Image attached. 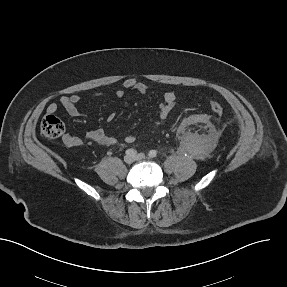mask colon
<instances>
[{
  "mask_svg": "<svg viewBox=\"0 0 287 287\" xmlns=\"http://www.w3.org/2000/svg\"><path fill=\"white\" fill-rule=\"evenodd\" d=\"M210 109L214 115H221L224 112L223 106L219 102H211ZM41 133L49 139L59 138L64 134L63 122L54 114L46 115L40 125Z\"/></svg>",
  "mask_w": 287,
  "mask_h": 287,
  "instance_id": "1",
  "label": "colon"
}]
</instances>
